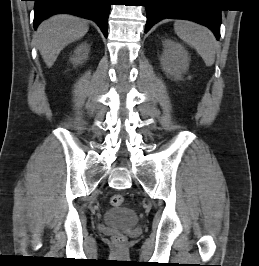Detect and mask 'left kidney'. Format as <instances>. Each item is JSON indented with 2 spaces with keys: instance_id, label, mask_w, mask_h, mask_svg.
Returning a JSON list of instances; mask_svg holds the SVG:
<instances>
[{
  "instance_id": "obj_1",
  "label": "left kidney",
  "mask_w": 259,
  "mask_h": 266,
  "mask_svg": "<svg viewBox=\"0 0 259 266\" xmlns=\"http://www.w3.org/2000/svg\"><path fill=\"white\" fill-rule=\"evenodd\" d=\"M163 47L164 51L161 58L163 70L175 78L180 77L189 66L188 52L181 44L171 39H165Z\"/></svg>"
}]
</instances>
